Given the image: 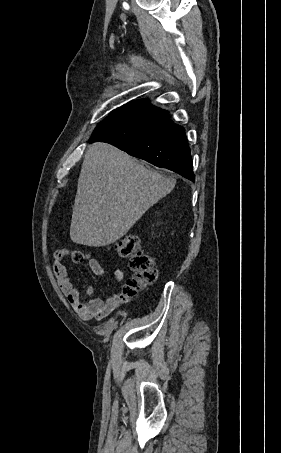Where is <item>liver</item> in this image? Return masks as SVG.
I'll return each mask as SVG.
<instances>
[{"label":"liver","instance_id":"obj_1","mask_svg":"<svg viewBox=\"0 0 281 453\" xmlns=\"http://www.w3.org/2000/svg\"><path fill=\"white\" fill-rule=\"evenodd\" d=\"M175 184L176 178L148 170L111 144H89L78 178L71 241L87 247L116 243Z\"/></svg>","mask_w":281,"mask_h":453}]
</instances>
